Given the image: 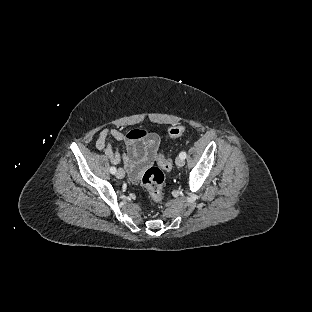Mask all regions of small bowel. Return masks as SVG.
I'll use <instances>...</instances> for the list:
<instances>
[{"instance_id":"small-bowel-1","label":"small bowel","mask_w":312,"mask_h":312,"mask_svg":"<svg viewBox=\"0 0 312 312\" xmlns=\"http://www.w3.org/2000/svg\"><path fill=\"white\" fill-rule=\"evenodd\" d=\"M123 142L125 152L121 155L115 150L110 139ZM96 148L102 151L113 164L123 162L124 168L133 183H138L141 175L157 159L160 152V138L155 132L132 129L123 132L119 129L104 128L96 140Z\"/></svg>"}]
</instances>
